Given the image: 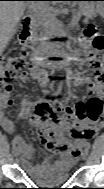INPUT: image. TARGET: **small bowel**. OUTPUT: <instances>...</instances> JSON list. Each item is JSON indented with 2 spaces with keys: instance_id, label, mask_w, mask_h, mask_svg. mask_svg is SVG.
I'll return each instance as SVG.
<instances>
[{
  "instance_id": "c3829d8e",
  "label": "small bowel",
  "mask_w": 104,
  "mask_h": 189,
  "mask_svg": "<svg viewBox=\"0 0 104 189\" xmlns=\"http://www.w3.org/2000/svg\"><path fill=\"white\" fill-rule=\"evenodd\" d=\"M28 74H30L33 78H37L39 75V70L31 67L28 72H23L21 74V81H27ZM72 80L75 84L87 85L88 92L95 95V97L89 101L93 99L101 100V95L103 93V84L101 81L94 80L86 75L74 76L72 77ZM61 90L62 86L59 87L58 92ZM9 98V96H6L2 99L0 123L5 132L12 134L14 132V122L5 112V110L10 106L7 103ZM87 102L79 101L76 104L63 109L62 115L60 116H57L55 112L50 113V117L47 119H44L37 114V108L39 106H51L49 102L41 101L35 104L29 99H24L21 102L18 120L27 119L32 110L35 108L38 117L34 121L39 125V129L54 125L56 130L60 133V136L57 137L63 141L61 146H52L44 142L47 149L51 151L54 156L48 161L34 165L31 163V159L33 157L32 147L26 143L23 137L14 136L13 143H15L19 149L23 165L29 173L34 175H42L49 167L52 166L69 168L73 162L79 158L86 141L93 138L95 133L103 124L102 115L99 117H93L91 112L89 114L86 108Z\"/></svg>"
}]
</instances>
